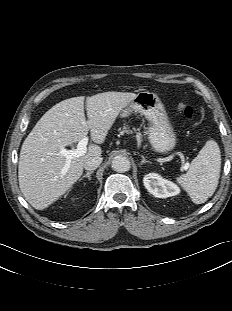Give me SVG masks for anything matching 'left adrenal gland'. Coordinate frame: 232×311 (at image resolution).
<instances>
[{
    "mask_svg": "<svg viewBox=\"0 0 232 311\" xmlns=\"http://www.w3.org/2000/svg\"><path fill=\"white\" fill-rule=\"evenodd\" d=\"M141 157H142L141 165H143L144 163H149V161H147L143 155H141Z\"/></svg>",
    "mask_w": 232,
    "mask_h": 311,
    "instance_id": "left-adrenal-gland-1",
    "label": "left adrenal gland"
}]
</instances>
